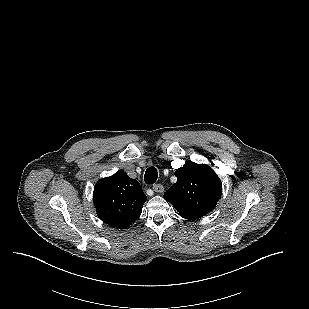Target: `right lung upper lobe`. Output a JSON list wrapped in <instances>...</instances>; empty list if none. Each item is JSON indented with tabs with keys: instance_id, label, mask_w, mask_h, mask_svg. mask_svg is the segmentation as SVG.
<instances>
[{
	"instance_id": "right-lung-upper-lobe-1",
	"label": "right lung upper lobe",
	"mask_w": 309,
	"mask_h": 309,
	"mask_svg": "<svg viewBox=\"0 0 309 309\" xmlns=\"http://www.w3.org/2000/svg\"><path fill=\"white\" fill-rule=\"evenodd\" d=\"M93 201L99 218L106 224L126 228L139 218L146 196L137 180L124 171L99 180Z\"/></svg>"
}]
</instances>
